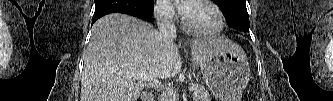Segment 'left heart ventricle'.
Masks as SVG:
<instances>
[{"label": "left heart ventricle", "mask_w": 333, "mask_h": 101, "mask_svg": "<svg viewBox=\"0 0 333 101\" xmlns=\"http://www.w3.org/2000/svg\"><path fill=\"white\" fill-rule=\"evenodd\" d=\"M183 14L188 25L196 31L209 32L218 24L215 11L202 2H188Z\"/></svg>", "instance_id": "left-heart-ventricle-1"}]
</instances>
